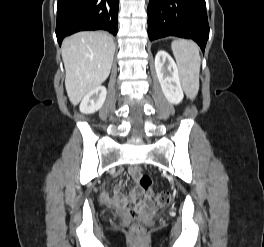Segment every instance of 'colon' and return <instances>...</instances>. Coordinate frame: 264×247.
I'll return each instance as SVG.
<instances>
[{
    "label": "colon",
    "mask_w": 264,
    "mask_h": 247,
    "mask_svg": "<svg viewBox=\"0 0 264 247\" xmlns=\"http://www.w3.org/2000/svg\"><path fill=\"white\" fill-rule=\"evenodd\" d=\"M138 182H139L140 188L145 191L149 190L152 186V180L146 174L139 176ZM169 200H170V194L166 191L158 192L155 195V202L158 205H165L169 202ZM130 214L135 217L139 214V211L134 206H130ZM132 228L134 232H139L141 230V225L138 223H135L133 224Z\"/></svg>",
    "instance_id": "colon-1"
}]
</instances>
